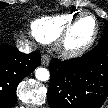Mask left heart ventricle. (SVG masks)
<instances>
[{
    "label": "left heart ventricle",
    "instance_id": "b2bd125f",
    "mask_svg": "<svg viewBox=\"0 0 108 108\" xmlns=\"http://www.w3.org/2000/svg\"><path fill=\"white\" fill-rule=\"evenodd\" d=\"M94 30V23L91 18H85L81 20L74 28L71 37L70 45L77 46L86 42L92 35Z\"/></svg>",
    "mask_w": 108,
    "mask_h": 108
}]
</instances>
